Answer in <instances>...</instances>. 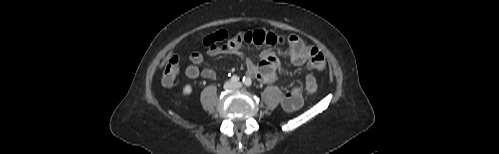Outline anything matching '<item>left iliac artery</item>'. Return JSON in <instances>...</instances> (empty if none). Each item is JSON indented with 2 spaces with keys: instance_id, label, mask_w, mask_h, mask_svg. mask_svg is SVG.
I'll return each mask as SVG.
<instances>
[{
  "instance_id": "obj_1",
  "label": "left iliac artery",
  "mask_w": 499,
  "mask_h": 154,
  "mask_svg": "<svg viewBox=\"0 0 499 154\" xmlns=\"http://www.w3.org/2000/svg\"><path fill=\"white\" fill-rule=\"evenodd\" d=\"M243 84L247 87H250L252 85V80L249 77H243Z\"/></svg>"
}]
</instances>
